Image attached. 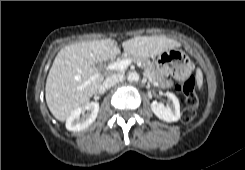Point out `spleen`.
<instances>
[{"label":"spleen","mask_w":245,"mask_h":170,"mask_svg":"<svg viewBox=\"0 0 245 170\" xmlns=\"http://www.w3.org/2000/svg\"><path fill=\"white\" fill-rule=\"evenodd\" d=\"M195 78H196L198 88L201 89L203 85V75L200 69H197Z\"/></svg>","instance_id":"3e777b00"}]
</instances>
